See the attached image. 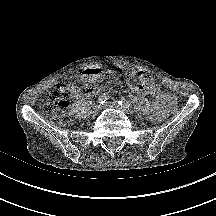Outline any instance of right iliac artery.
Instances as JSON below:
<instances>
[{"label": "right iliac artery", "mask_w": 216, "mask_h": 216, "mask_svg": "<svg viewBox=\"0 0 216 216\" xmlns=\"http://www.w3.org/2000/svg\"><path fill=\"white\" fill-rule=\"evenodd\" d=\"M108 95L103 93L101 96L98 98V103L103 104L108 100Z\"/></svg>", "instance_id": "obj_1"}]
</instances>
